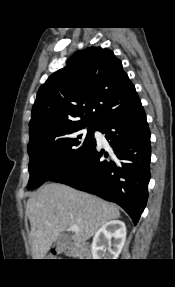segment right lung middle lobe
Masks as SVG:
<instances>
[{
	"label": "right lung middle lobe",
	"mask_w": 175,
	"mask_h": 287,
	"mask_svg": "<svg viewBox=\"0 0 175 287\" xmlns=\"http://www.w3.org/2000/svg\"><path fill=\"white\" fill-rule=\"evenodd\" d=\"M97 125L71 128L28 145L30 179L27 189L39 187L80 164L94 149ZM87 128V132L84 130Z\"/></svg>",
	"instance_id": "dd1d6c3e"
}]
</instances>
